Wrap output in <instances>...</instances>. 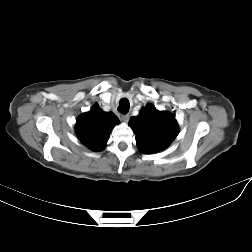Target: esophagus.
I'll list each match as a JSON object with an SVG mask.
<instances>
[{"instance_id": "esophagus-1", "label": "esophagus", "mask_w": 252, "mask_h": 252, "mask_svg": "<svg viewBox=\"0 0 252 252\" xmlns=\"http://www.w3.org/2000/svg\"><path fill=\"white\" fill-rule=\"evenodd\" d=\"M121 119H122L123 122H128L129 114H122Z\"/></svg>"}]
</instances>
